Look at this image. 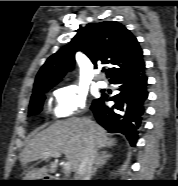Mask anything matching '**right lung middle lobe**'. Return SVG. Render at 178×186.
<instances>
[{"label":"right lung middle lobe","mask_w":178,"mask_h":186,"mask_svg":"<svg viewBox=\"0 0 178 186\" xmlns=\"http://www.w3.org/2000/svg\"><path fill=\"white\" fill-rule=\"evenodd\" d=\"M49 89L50 88L40 90L36 94L32 95L29 105V115H36L41 111L45 99L44 93H46Z\"/></svg>","instance_id":"1"}]
</instances>
